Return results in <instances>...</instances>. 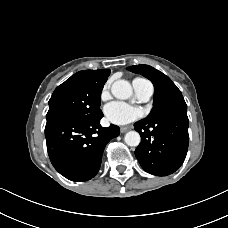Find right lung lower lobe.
<instances>
[{
  "instance_id": "98d812e1",
  "label": "right lung lower lobe",
  "mask_w": 228,
  "mask_h": 228,
  "mask_svg": "<svg viewBox=\"0 0 228 228\" xmlns=\"http://www.w3.org/2000/svg\"><path fill=\"white\" fill-rule=\"evenodd\" d=\"M103 113L91 118H61L46 124L45 137L54 168L72 181H87L99 171L106 144L120 134L118 126L100 125Z\"/></svg>"
}]
</instances>
